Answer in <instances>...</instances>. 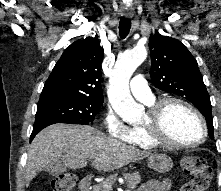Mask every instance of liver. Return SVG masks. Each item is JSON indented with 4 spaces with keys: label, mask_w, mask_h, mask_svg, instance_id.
<instances>
[{
    "label": "liver",
    "mask_w": 221,
    "mask_h": 191,
    "mask_svg": "<svg viewBox=\"0 0 221 191\" xmlns=\"http://www.w3.org/2000/svg\"><path fill=\"white\" fill-rule=\"evenodd\" d=\"M151 155L91 126L55 124L43 129L31 143L25 166L26 186L49 162L61 161L76 169L85 167L91 159L97 170L113 171Z\"/></svg>",
    "instance_id": "6515ba94"
}]
</instances>
